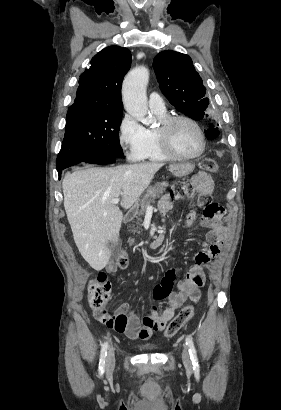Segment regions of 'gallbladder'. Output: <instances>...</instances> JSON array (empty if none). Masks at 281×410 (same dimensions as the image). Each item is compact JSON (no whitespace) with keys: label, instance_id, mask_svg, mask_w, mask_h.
Here are the masks:
<instances>
[{"label":"gallbladder","instance_id":"obj_1","mask_svg":"<svg viewBox=\"0 0 281 410\" xmlns=\"http://www.w3.org/2000/svg\"><path fill=\"white\" fill-rule=\"evenodd\" d=\"M108 248L111 250V259H115L116 258V256H117V253H118V251H119V249H120V243L119 242H117L116 244H111V243H109L108 245Z\"/></svg>","mask_w":281,"mask_h":410}]
</instances>
